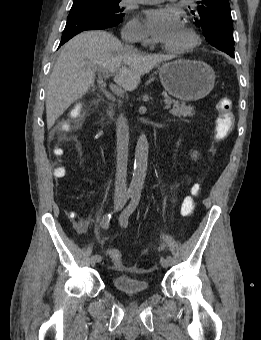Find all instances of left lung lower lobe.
I'll use <instances>...</instances> for the list:
<instances>
[{
    "mask_svg": "<svg viewBox=\"0 0 261 340\" xmlns=\"http://www.w3.org/2000/svg\"><path fill=\"white\" fill-rule=\"evenodd\" d=\"M228 55H230L231 57H234V54H228Z\"/></svg>",
    "mask_w": 261,
    "mask_h": 340,
    "instance_id": "left-lung-lower-lobe-1",
    "label": "left lung lower lobe"
}]
</instances>
